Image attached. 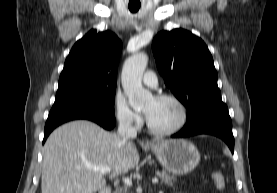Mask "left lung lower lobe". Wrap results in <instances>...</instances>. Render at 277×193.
<instances>
[{
    "label": "left lung lower lobe",
    "mask_w": 277,
    "mask_h": 193,
    "mask_svg": "<svg viewBox=\"0 0 277 193\" xmlns=\"http://www.w3.org/2000/svg\"><path fill=\"white\" fill-rule=\"evenodd\" d=\"M197 134H211L223 139L234 152V137L232 123L227 106L223 104L210 105L187 119L184 128L172 135L173 138L189 137Z\"/></svg>",
    "instance_id": "left-lung-lower-lobe-1"
}]
</instances>
